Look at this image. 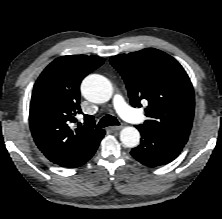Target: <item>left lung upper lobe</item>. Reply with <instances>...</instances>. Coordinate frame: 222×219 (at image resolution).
Listing matches in <instances>:
<instances>
[{"mask_svg":"<svg viewBox=\"0 0 222 219\" xmlns=\"http://www.w3.org/2000/svg\"><path fill=\"white\" fill-rule=\"evenodd\" d=\"M110 63L123 77L132 106L141 107V100H147L143 126L186 144L195 99L183 67L154 48L113 56Z\"/></svg>","mask_w":222,"mask_h":219,"instance_id":"left-lung-upper-lobe-1","label":"left lung upper lobe"}]
</instances>
